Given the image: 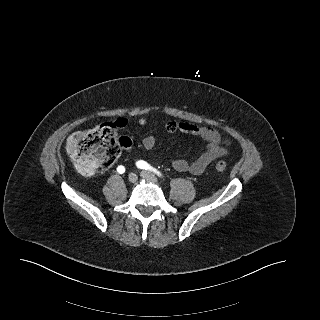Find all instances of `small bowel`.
<instances>
[{
    "mask_svg": "<svg viewBox=\"0 0 320 320\" xmlns=\"http://www.w3.org/2000/svg\"><path fill=\"white\" fill-rule=\"evenodd\" d=\"M147 123L145 118H139L138 124L145 126ZM116 124L119 127H124L126 121L124 119H118ZM166 130L169 133L182 132L188 135L196 136L206 142L205 151L194 161H188L185 159H175L172 161V167L178 172H190L194 175H199L205 171V169L216 159L228 155V146L230 142L223 140L220 133L207 126H200L193 123L170 121L166 124ZM143 147L146 150H151L156 145V137L148 135L142 140Z\"/></svg>",
    "mask_w": 320,
    "mask_h": 320,
    "instance_id": "obj_1",
    "label": "small bowel"
}]
</instances>
